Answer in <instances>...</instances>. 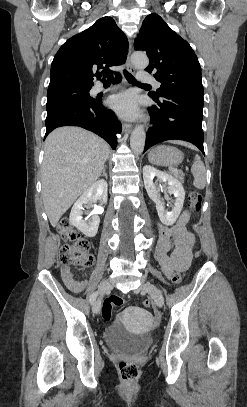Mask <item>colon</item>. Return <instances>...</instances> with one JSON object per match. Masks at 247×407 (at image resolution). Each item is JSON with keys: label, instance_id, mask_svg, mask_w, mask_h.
Wrapping results in <instances>:
<instances>
[{"label": "colon", "instance_id": "obj_1", "mask_svg": "<svg viewBox=\"0 0 247 407\" xmlns=\"http://www.w3.org/2000/svg\"><path fill=\"white\" fill-rule=\"evenodd\" d=\"M188 200L191 210L199 211L203 200L201 193L196 189H191L188 194ZM57 230L64 241V245L59 254L61 264L67 267H88L92 265L93 258L89 252L88 242L76 232L67 219L64 218L58 223ZM171 281L174 284H179L181 275L175 273ZM125 302L126 298L120 295H111L106 298L102 307L103 319L109 321L112 317L113 308L120 307L124 305ZM143 305L149 307L150 302L145 300ZM119 373L125 382H133L138 378L140 369L135 362L121 360L119 362Z\"/></svg>", "mask_w": 247, "mask_h": 407}]
</instances>
